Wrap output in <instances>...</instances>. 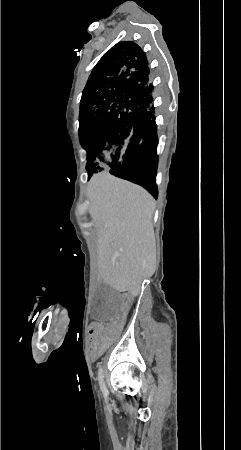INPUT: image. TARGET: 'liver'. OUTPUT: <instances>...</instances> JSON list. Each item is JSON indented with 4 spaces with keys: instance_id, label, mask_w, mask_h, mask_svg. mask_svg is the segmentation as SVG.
<instances>
[{
    "instance_id": "liver-1",
    "label": "liver",
    "mask_w": 241,
    "mask_h": 450,
    "mask_svg": "<svg viewBox=\"0 0 241 450\" xmlns=\"http://www.w3.org/2000/svg\"><path fill=\"white\" fill-rule=\"evenodd\" d=\"M86 196L89 214L98 230L99 278L118 292L138 296L142 280L153 276L156 270L153 196L109 172L92 176Z\"/></svg>"
}]
</instances>
